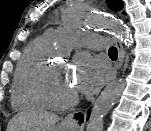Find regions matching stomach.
Segmentation results:
<instances>
[{"label":"stomach","instance_id":"obj_1","mask_svg":"<svg viewBox=\"0 0 151 131\" xmlns=\"http://www.w3.org/2000/svg\"><path fill=\"white\" fill-rule=\"evenodd\" d=\"M76 127L72 124L68 123H61L57 126H54L51 130L49 131H75Z\"/></svg>","mask_w":151,"mask_h":131}]
</instances>
